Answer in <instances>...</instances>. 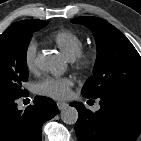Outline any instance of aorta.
Listing matches in <instances>:
<instances>
[{
	"label": "aorta",
	"mask_w": 141,
	"mask_h": 141,
	"mask_svg": "<svg viewBox=\"0 0 141 141\" xmlns=\"http://www.w3.org/2000/svg\"><path fill=\"white\" fill-rule=\"evenodd\" d=\"M36 65L39 69L55 73L59 70L57 58L49 53L43 52L36 57ZM61 119L65 124H75L78 119V111L75 107L67 106L61 111Z\"/></svg>",
	"instance_id": "762f6f07"
}]
</instances>
